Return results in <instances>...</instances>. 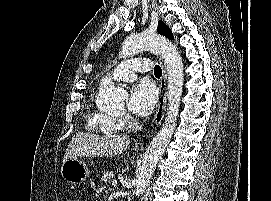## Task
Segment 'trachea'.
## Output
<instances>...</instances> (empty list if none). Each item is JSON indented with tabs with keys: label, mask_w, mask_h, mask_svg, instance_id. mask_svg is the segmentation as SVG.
Instances as JSON below:
<instances>
[{
	"label": "trachea",
	"mask_w": 271,
	"mask_h": 201,
	"mask_svg": "<svg viewBox=\"0 0 271 201\" xmlns=\"http://www.w3.org/2000/svg\"><path fill=\"white\" fill-rule=\"evenodd\" d=\"M154 75L157 78L161 77V75H162V69H161V67L159 65H155V67H154Z\"/></svg>",
	"instance_id": "obj_1"
}]
</instances>
